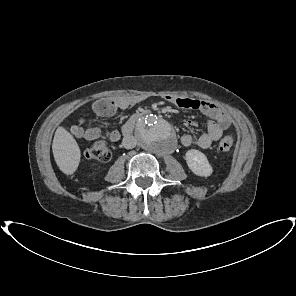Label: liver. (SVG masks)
I'll use <instances>...</instances> for the list:
<instances>
[{
	"label": "liver",
	"instance_id": "6515ba94",
	"mask_svg": "<svg viewBox=\"0 0 296 296\" xmlns=\"http://www.w3.org/2000/svg\"><path fill=\"white\" fill-rule=\"evenodd\" d=\"M54 159L66 175L73 174L79 165L81 151L73 136L63 127H58L52 143Z\"/></svg>",
	"mask_w": 296,
	"mask_h": 296
}]
</instances>
